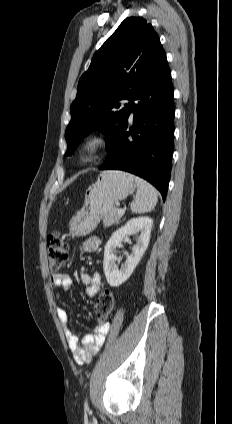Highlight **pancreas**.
Instances as JSON below:
<instances>
[{
  "mask_svg": "<svg viewBox=\"0 0 232 424\" xmlns=\"http://www.w3.org/2000/svg\"><path fill=\"white\" fill-rule=\"evenodd\" d=\"M122 218V215L118 214V209L113 208L110 211H108L103 218V223L105 227H109L112 224L119 223L120 219Z\"/></svg>",
  "mask_w": 232,
  "mask_h": 424,
  "instance_id": "cf45deb5",
  "label": "pancreas"
}]
</instances>
